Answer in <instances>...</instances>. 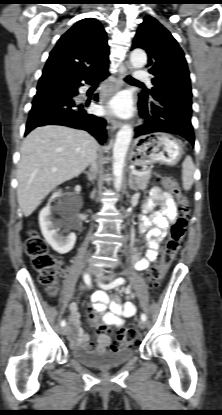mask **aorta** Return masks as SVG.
<instances>
[{
	"label": "aorta",
	"instance_id": "aorta-1",
	"mask_svg": "<svg viewBox=\"0 0 222 415\" xmlns=\"http://www.w3.org/2000/svg\"><path fill=\"white\" fill-rule=\"evenodd\" d=\"M130 62L134 68H142L147 63L146 53L142 49H135L130 54ZM133 129L124 125L118 131L113 147V174L114 187L117 191L121 189L123 180V168L125 157L132 139Z\"/></svg>",
	"mask_w": 222,
	"mask_h": 415
}]
</instances>
